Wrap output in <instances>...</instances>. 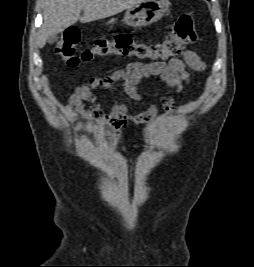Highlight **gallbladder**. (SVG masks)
Wrapping results in <instances>:
<instances>
[{
  "label": "gallbladder",
  "instance_id": "obj_1",
  "mask_svg": "<svg viewBox=\"0 0 254 267\" xmlns=\"http://www.w3.org/2000/svg\"><path fill=\"white\" fill-rule=\"evenodd\" d=\"M57 39H58V36L57 35L50 36L48 38V43L53 44L54 42L57 41Z\"/></svg>",
  "mask_w": 254,
  "mask_h": 267
}]
</instances>
